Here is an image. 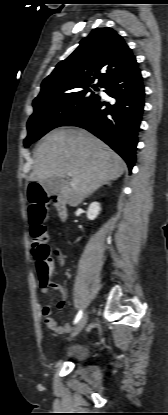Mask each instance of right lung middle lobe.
<instances>
[{"instance_id": "dd1d6c3e", "label": "right lung middle lobe", "mask_w": 168, "mask_h": 415, "mask_svg": "<svg viewBox=\"0 0 168 415\" xmlns=\"http://www.w3.org/2000/svg\"><path fill=\"white\" fill-rule=\"evenodd\" d=\"M93 89L98 91L97 88ZM88 92H91V89L73 92L34 106V113L27 123L28 136L24 140L25 147H29L50 130L64 126L93 106L100 97Z\"/></svg>"}]
</instances>
